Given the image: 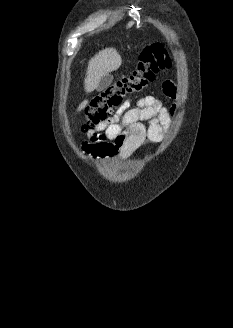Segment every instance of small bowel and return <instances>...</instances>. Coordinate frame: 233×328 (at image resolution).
I'll return each instance as SVG.
<instances>
[{
  "label": "small bowel",
  "mask_w": 233,
  "mask_h": 328,
  "mask_svg": "<svg viewBox=\"0 0 233 328\" xmlns=\"http://www.w3.org/2000/svg\"><path fill=\"white\" fill-rule=\"evenodd\" d=\"M163 92L174 99L176 87L166 81ZM174 112L175 105L167 108L154 96L126 100L111 119L87 130L88 138L82 143V149L94 156L125 159L147 141H160L162 127Z\"/></svg>",
  "instance_id": "obj_1"
}]
</instances>
